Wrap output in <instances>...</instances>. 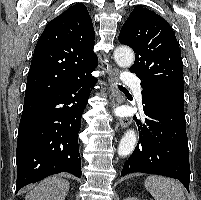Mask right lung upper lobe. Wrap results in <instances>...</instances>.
<instances>
[{
  "label": "right lung upper lobe",
  "instance_id": "obj_1",
  "mask_svg": "<svg viewBox=\"0 0 201 200\" xmlns=\"http://www.w3.org/2000/svg\"><path fill=\"white\" fill-rule=\"evenodd\" d=\"M94 28L87 8L77 3L50 21L31 61L25 98L61 89L98 65Z\"/></svg>",
  "mask_w": 201,
  "mask_h": 200
}]
</instances>
